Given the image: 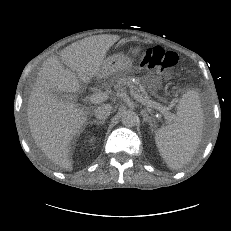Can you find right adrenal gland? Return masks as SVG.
<instances>
[{
    "label": "right adrenal gland",
    "mask_w": 231,
    "mask_h": 231,
    "mask_svg": "<svg viewBox=\"0 0 231 231\" xmlns=\"http://www.w3.org/2000/svg\"><path fill=\"white\" fill-rule=\"evenodd\" d=\"M105 123V120H93V121H91L90 122V124L92 125V124H97V125H99V124H104Z\"/></svg>",
    "instance_id": "2a0ac1e0"
}]
</instances>
